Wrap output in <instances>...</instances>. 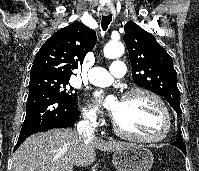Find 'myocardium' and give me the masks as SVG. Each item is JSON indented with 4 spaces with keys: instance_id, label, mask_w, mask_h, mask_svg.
I'll return each mask as SVG.
<instances>
[{
    "instance_id": "myocardium-1",
    "label": "myocardium",
    "mask_w": 199,
    "mask_h": 171,
    "mask_svg": "<svg viewBox=\"0 0 199 171\" xmlns=\"http://www.w3.org/2000/svg\"><path fill=\"white\" fill-rule=\"evenodd\" d=\"M135 94H144V95L150 97L156 103L159 110L161 111V114H162V117L164 120V127H163L162 132L159 135L154 136V137L137 135V134L128 132L125 129H123L119 125L117 120L115 118H113L114 131L118 135H120L124 138L131 139V140L138 141V142L156 143V142H161V141L165 140L171 131V116H170L169 109H168L167 105L165 104V102L162 100V98L159 95H157L155 92H153L147 88H144V87H134V88L127 90L122 95V99H126Z\"/></svg>"
}]
</instances>
